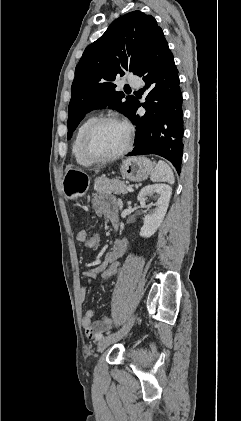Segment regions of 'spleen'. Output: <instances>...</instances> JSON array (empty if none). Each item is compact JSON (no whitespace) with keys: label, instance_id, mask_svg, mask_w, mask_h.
I'll list each match as a JSON object with an SVG mask.
<instances>
[{"label":"spleen","instance_id":"spleen-1","mask_svg":"<svg viewBox=\"0 0 241 421\" xmlns=\"http://www.w3.org/2000/svg\"><path fill=\"white\" fill-rule=\"evenodd\" d=\"M152 182H168L174 184L175 177L171 167L164 161L160 160L151 172Z\"/></svg>","mask_w":241,"mask_h":421}]
</instances>
